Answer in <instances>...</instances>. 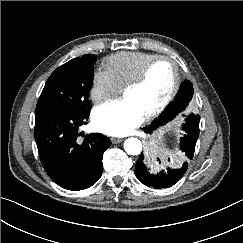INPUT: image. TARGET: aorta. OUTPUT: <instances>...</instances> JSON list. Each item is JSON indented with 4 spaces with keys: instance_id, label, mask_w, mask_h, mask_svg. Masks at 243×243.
<instances>
[{
    "instance_id": "aorta-1",
    "label": "aorta",
    "mask_w": 243,
    "mask_h": 243,
    "mask_svg": "<svg viewBox=\"0 0 243 243\" xmlns=\"http://www.w3.org/2000/svg\"><path fill=\"white\" fill-rule=\"evenodd\" d=\"M124 149L129 155H139L142 151V143L137 138H128L124 142Z\"/></svg>"
}]
</instances>
